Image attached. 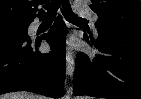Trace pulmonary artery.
I'll list each match as a JSON object with an SVG mask.
<instances>
[{
	"mask_svg": "<svg viewBox=\"0 0 141 99\" xmlns=\"http://www.w3.org/2000/svg\"><path fill=\"white\" fill-rule=\"evenodd\" d=\"M77 11L86 17H89L94 23H96V21L98 20V16L93 13L92 11H90L89 9L85 8V7H77Z\"/></svg>",
	"mask_w": 141,
	"mask_h": 99,
	"instance_id": "obj_1",
	"label": "pulmonary artery"
}]
</instances>
